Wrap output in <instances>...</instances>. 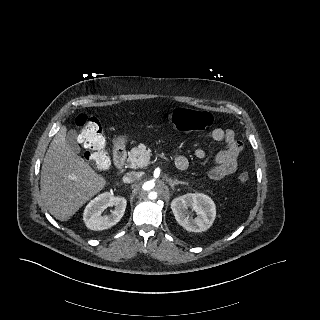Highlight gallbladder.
<instances>
[{
	"label": "gallbladder",
	"instance_id": "gallbladder-1",
	"mask_svg": "<svg viewBox=\"0 0 320 320\" xmlns=\"http://www.w3.org/2000/svg\"><path fill=\"white\" fill-rule=\"evenodd\" d=\"M76 137H77L76 131L73 129L69 130L67 132L66 142L72 151H74L75 153H79L80 148L76 142Z\"/></svg>",
	"mask_w": 320,
	"mask_h": 320
}]
</instances>
